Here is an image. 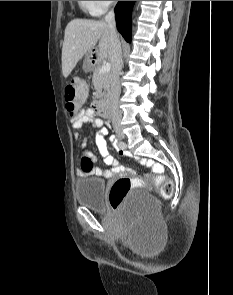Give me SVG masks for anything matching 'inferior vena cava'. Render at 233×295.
<instances>
[{
	"mask_svg": "<svg viewBox=\"0 0 233 295\" xmlns=\"http://www.w3.org/2000/svg\"><path fill=\"white\" fill-rule=\"evenodd\" d=\"M105 22L108 24L111 32L108 54L112 64L110 90L107 94L105 104L113 117H119L118 99L121 90L119 76L123 67V62L121 44L116 32L114 11H110L106 14Z\"/></svg>",
	"mask_w": 233,
	"mask_h": 295,
	"instance_id": "602c4592",
	"label": "inferior vena cava"
}]
</instances>
